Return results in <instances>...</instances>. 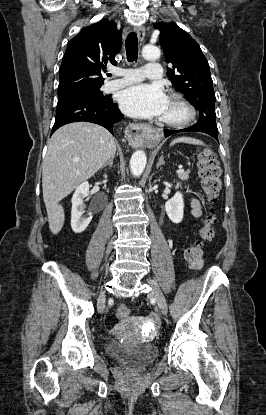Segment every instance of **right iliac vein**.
Returning a JSON list of instances; mask_svg holds the SVG:
<instances>
[{
    "label": "right iliac vein",
    "instance_id": "1",
    "mask_svg": "<svg viewBox=\"0 0 266 415\" xmlns=\"http://www.w3.org/2000/svg\"><path fill=\"white\" fill-rule=\"evenodd\" d=\"M105 300V295H104V291H101L100 296H99V302L103 303Z\"/></svg>",
    "mask_w": 266,
    "mask_h": 415
}]
</instances>
